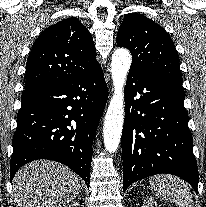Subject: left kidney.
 Returning <instances> with one entry per match:
<instances>
[{"instance_id":"1","label":"left kidney","mask_w":206,"mask_h":207,"mask_svg":"<svg viewBox=\"0 0 206 207\" xmlns=\"http://www.w3.org/2000/svg\"><path fill=\"white\" fill-rule=\"evenodd\" d=\"M142 207H160L152 198H147Z\"/></svg>"}]
</instances>
